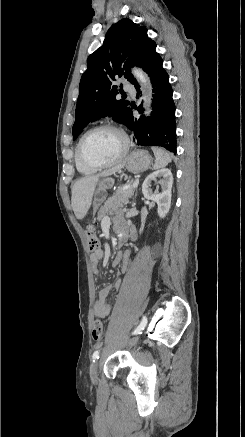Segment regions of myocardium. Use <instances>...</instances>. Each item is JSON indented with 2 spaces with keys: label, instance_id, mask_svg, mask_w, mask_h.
Here are the masks:
<instances>
[{
  "label": "myocardium",
  "instance_id": "myocardium-1",
  "mask_svg": "<svg viewBox=\"0 0 245 437\" xmlns=\"http://www.w3.org/2000/svg\"><path fill=\"white\" fill-rule=\"evenodd\" d=\"M113 130L115 132H117L123 139V148L122 151L120 152V154L113 160L109 161V162H105V163H97V162H92L90 160H88L82 151V145L84 140L87 138L88 135H90L93 132L99 131V130ZM77 154L80 158V160L87 166L95 168V169H103V168H108L111 166H114L118 163H120L121 161H123L125 159V157L127 156L129 150H130V140L129 137L127 135V133L119 126L111 124V123H102V124H98L95 125L91 128H89L87 131H85L82 136L80 137L78 143H77Z\"/></svg>",
  "mask_w": 245,
  "mask_h": 437
}]
</instances>
